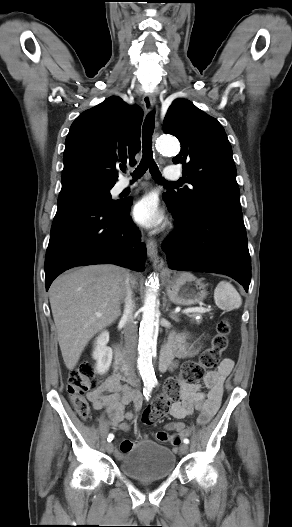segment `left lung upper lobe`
Segmentation results:
<instances>
[{"label": "left lung upper lobe", "instance_id": "left-lung-upper-lobe-1", "mask_svg": "<svg viewBox=\"0 0 292 527\" xmlns=\"http://www.w3.org/2000/svg\"><path fill=\"white\" fill-rule=\"evenodd\" d=\"M164 132L176 136L183 178L193 188L164 193L169 208L181 217L205 208L241 210L232 148L222 125L186 99H176L164 119Z\"/></svg>", "mask_w": 292, "mask_h": 527}]
</instances>
